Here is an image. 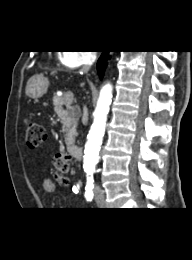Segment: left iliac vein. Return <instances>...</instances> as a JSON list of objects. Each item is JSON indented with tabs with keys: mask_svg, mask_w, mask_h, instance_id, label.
Instances as JSON below:
<instances>
[{
	"mask_svg": "<svg viewBox=\"0 0 192 260\" xmlns=\"http://www.w3.org/2000/svg\"><path fill=\"white\" fill-rule=\"evenodd\" d=\"M95 200L100 208H104L106 206L105 198L102 192H96Z\"/></svg>",
	"mask_w": 192,
	"mask_h": 260,
	"instance_id": "obj_1",
	"label": "left iliac vein"
}]
</instances>
